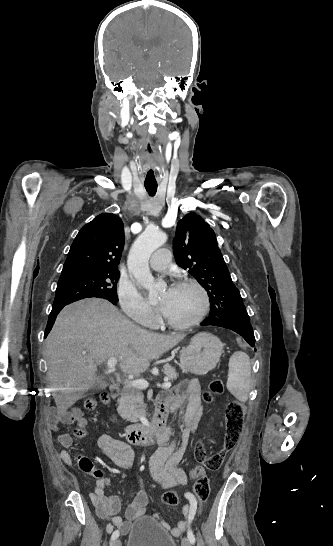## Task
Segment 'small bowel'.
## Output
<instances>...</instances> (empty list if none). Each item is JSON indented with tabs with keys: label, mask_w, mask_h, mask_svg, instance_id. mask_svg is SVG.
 <instances>
[{
	"label": "small bowel",
	"mask_w": 333,
	"mask_h": 546,
	"mask_svg": "<svg viewBox=\"0 0 333 546\" xmlns=\"http://www.w3.org/2000/svg\"><path fill=\"white\" fill-rule=\"evenodd\" d=\"M237 346L243 347L244 341L238 340ZM201 391L200 381L192 379L180 383L174 393L161 394L157 399V413L164 417L185 406L181 413L179 438L170 442L171 428L167 427L164 436L158 440L160 448L149 464L152 479L163 488L183 486L187 483V476L179 468V462L190 444L195 426L203 412ZM58 421L66 424L77 421L81 427L87 426V421L79 410L52 416L51 425L55 426ZM58 442L62 446L59 451L60 459L69 466L73 465L72 457L68 452V449L73 446L71 436L60 433ZM98 446L100 452L107 456L117 467L124 470L131 469L134 461V450L128 443L110 435H102L98 439ZM76 461L82 471L97 477L94 490L90 494L97 515L101 519H110L113 526L119 528L122 533H126L129 530L130 522H135L143 516L149 502L147 492L142 488L136 494L132 503L126 509V519H124L117 515L121 506L119 498L107 493V481L101 477L99 471L94 469L92 461L81 455L76 457ZM190 478L195 480V476L191 472ZM186 498L189 504L182 507L186 519L179 521L176 527L171 528L160 516L156 515L163 528L176 537L182 535L189 527L190 517L193 518L197 513L201 512L197 507V501L193 494L186 493ZM108 530H111V525L108 526Z\"/></svg>",
	"instance_id": "small-bowel-1"
}]
</instances>
